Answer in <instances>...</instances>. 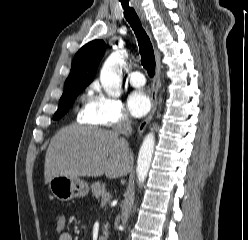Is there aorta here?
<instances>
[{
	"label": "aorta",
	"mask_w": 248,
	"mask_h": 240,
	"mask_svg": "<svg viewBox=\"0 0 248 240\" xmlns=\"http://www.w3.org/2000/svg\"><path fill=\"white\" fill-rule=\"evenodd\" d=\"M127 57L126 50L112 53L105 61L101 72L100 82L105 92L111 97H118L121 94V69ZM155 146V136L152 132L148 133L140 147L137 159V178L139 184L144 183L153 156Z\"/></svg>",
	"instance_id": "obj_1"
}]
</instances>
